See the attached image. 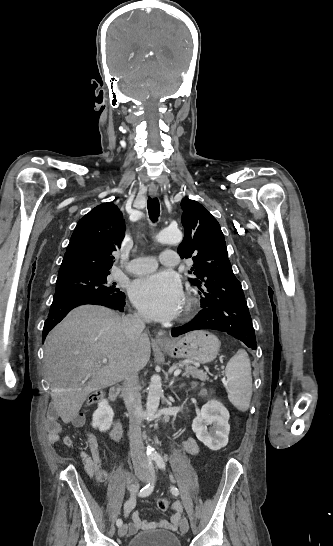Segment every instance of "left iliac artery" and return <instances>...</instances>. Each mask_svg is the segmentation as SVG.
I'll return each mask as SVG.
<instances>
[{
	"label": "left iliac artery",
	"instance_id": "obj_1",
	"mask_svg": "<svg viewBox=\"0 0 333 546\" xmlns=\"http://www.w3.org/2000/svg\"><path fill=\"white\" fill-rule=\"evenodd\" d=\"M153 458H154V460H155L157 466H158L160 469L164 470V469H165V462H164L163 458H162L159 454H157V453L153 455ZM171 492H172V494L175 495V496H178V495H179V490H178L175 486H172V487H171Z\"/></svg>",
	"mask_w": 333,
	"mask_h": 546
}]
</instances>
